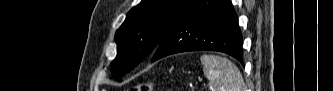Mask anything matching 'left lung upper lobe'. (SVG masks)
<instances>
[{"mask_svg": "<svg viewBox=\"0 0 333 91\" xmlns=\"http://www.w3.org/2000/svg\"><path fill=\"white\" fill-rule=\"evenodd\" d=\"M198 0H142L115 34L117 56L110 64L117 81L151 55Z\"/></svg>", "mask_w": 333, "mask_h": 91, "instance_id": "left-lung-upper-lobe-1", "label": "left lung upper lobe"}]
</instances>
